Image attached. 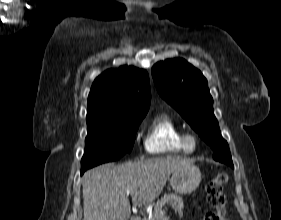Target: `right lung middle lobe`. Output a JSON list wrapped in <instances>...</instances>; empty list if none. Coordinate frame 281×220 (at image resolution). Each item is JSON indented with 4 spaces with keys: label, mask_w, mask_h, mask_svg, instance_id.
<instances>
[{
    "label": "right lung middle lobe",
    "mask_w": 281,
    "mask_h": 220,
    "mask_svg": "<svg viewBox=\"0 0 281 220\" xmlns=\"http://www.w3.org/2000/svg\"><path fill=\"white\" fill-rule=\"evenodd\" d=\"M144 117L145 115H139L113 120H87L88 134L81 171L118 160L125 153H130Z\"/></svg>",
    "instance_id": "obj_1"
}]
</instances>
